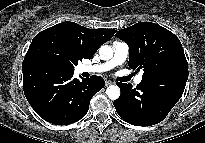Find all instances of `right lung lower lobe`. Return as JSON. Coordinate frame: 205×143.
<instances>
[{
    "mask_svg": "<svg viewBox=\"0 0 205 143\" xmlns=\"http://www.w3.org/2000/svg\"><path fill=\"white\" fill-rule=\"evenodd\" d=\"M22 70L28 102L42 119L55 125L83 118L90 100L105 85L100 76L80 81L73 72L43 62L23 61Z\"/></svg>",
    "mask_w": 205,
    "mask_h": 143,
    "instance_id": "obj_1",
    "label": "right lung lower lobe"
}]
</instances>
